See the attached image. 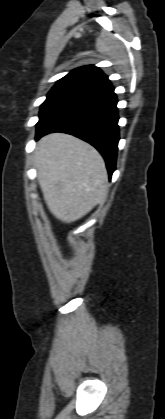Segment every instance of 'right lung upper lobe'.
Returning <instances> with one entry per match:
<instances>
[{
	"mask_svg": "<svg viewBox=\"0 0 165 419\" xmlns=\"http://www.w3.org/2000/svg\"><path fill=\"white\" fill-rule=\"evenodd\" d=\"M109 86H111V83L107 76L98 67L90 65L72 70L60 79L53 88L73 91L86 96Z\"/></svg>",
	"mask_w": 165,
	"mask_h": 419,
	"instance_id": "obj_1",
	"label": "right lung upper lobe"
}]
</instances>
